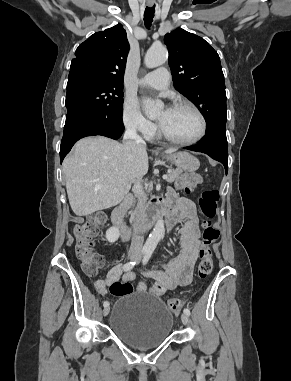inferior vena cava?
<instances>
[{
  "label": "inferior vena cava",
  "mask_w": 291,
  "mask_h": 381,
  "mask_svg": "<svg viewBox=\"0 0 291 381\" xmlns=\"http://www.w3.org/2000/svg\"><path fill=\"white\" fill-rule=\"evenodd\" d=\"M125 140H133L137 143L140 148L145 149L146 143L145 141L137 134L135 127H127L124 133ZM134 193H136L138 197V205L136 210V218L133 223V236L131 241V246L129 250V254L138 255L140 254L144 242L143 236V221L145 215V206H146V196L142 189V185L140 183V179L137 180L133 187Z\"/></svg>",
  "instance_id": "inferior-vena-cava-1"
}]
</instances>
